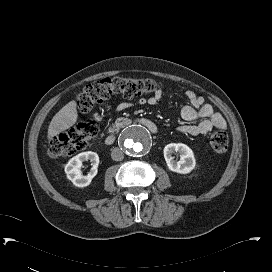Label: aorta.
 <instances>
[{"instance_id": "1", "label": "aorta", "mask_w": 272, "mask_h": 272, "mask_svg": "<svg viewBox=\"0 0 272 272\" xmlns=\"http://www.w3.org/2000/svg\"><path fill=\"white\" fill-rule=\"evenodd\" d=\"M120 143L129 155L142 156L151 149L152 138L147 129L139 125H133L122 133Z\"/></svg>"}]
</instances>
